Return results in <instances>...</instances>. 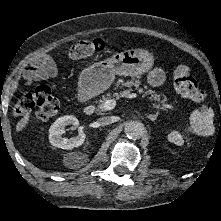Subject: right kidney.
I'll return each mask as SVG.
<instances>
[{
  "mask_svg": "<svg viewBox=\"0 0 221 221\" xmlns=\"http://www.w3.org/2000/svg\"><path fill=\"white\" fill-rule=\"evenodd\" d=\"M73 125L78 127V135L71 138H63L62 134L65 133V127ZM85 133L79 126V121L72 115H66L58 118L49 129L50 143L61 149H73L74 147L81 146L85 141Z\"/></svg>",
  "mask_w": 221,
  "mask_h": 221,
  "instance_id": "obj_1",
  "label": "right kidney"
}]
</instances>
